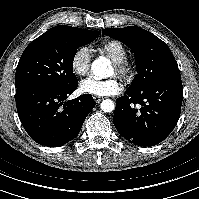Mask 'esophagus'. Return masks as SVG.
Instances as JSON below:
<instances>
[{
  "label": "esophagus",
  "instance_id": "1",
  "mask_svg": "<svg viewBox=\"0 0 199 199\" xmlns=\"http://www.w3.org/2000/svg\"><path fill=\"white\" fill-rule=\"evenodd\" d=\"M93 99L95 100L96 103H99L103 100V98L100 96H93Z\"/></svg>",
  "mask_w": 199,
  "mask_h": 199
}]
</instances>
